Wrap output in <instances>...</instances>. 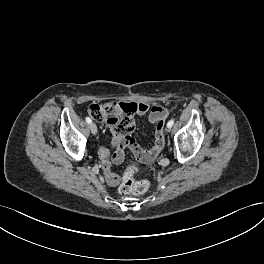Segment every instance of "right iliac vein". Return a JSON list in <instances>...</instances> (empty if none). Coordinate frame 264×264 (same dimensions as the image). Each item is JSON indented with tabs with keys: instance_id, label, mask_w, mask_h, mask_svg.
<instances>
[{
	"instance_id": "63e3f726",
	"label": "right iliac vein",
	"mask_w": 264,
	"mask_h": 264,
	"mask_svg": "<svg viewBox=\"0 0 264 264\" xmlns=\"http://www.w3.org/2000/svg\"><path fill=\"white\" fill-rule=\"evenodd\" d=\"M90 130H91L92 134H94V135L97 133L98 129H97V126L95 123L90 124Z\"/></svg>"
}]
</instances>
